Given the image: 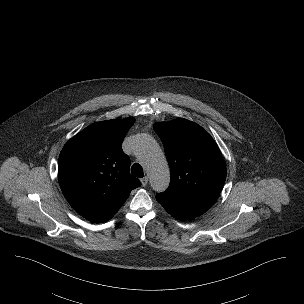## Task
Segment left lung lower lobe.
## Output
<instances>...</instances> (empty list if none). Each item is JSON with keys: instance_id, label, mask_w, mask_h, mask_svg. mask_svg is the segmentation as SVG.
<instances>
[{"instance_id": "0a47b994", "label": "left lung lower lobe", "mask_w": 304, "mask_h": 304, "mask_svg": "<svg viewBox=\"0 0 304 304\" xmlns=\"http://www.w3.org/2000/svg\"><path fill=\"white\" fill-rule=\"evenodd\" d=\"M157 201L164 207V209L170 215H172L174 218H176L178 220H189V219H192L195 217L194 215H191V214L179 209L178 207L170 205L164 201H161L159 199H157Z\"/></svg>"}]
</instances>
